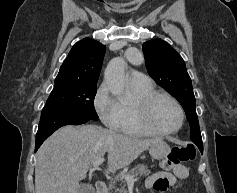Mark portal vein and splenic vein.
Masks as SVG:
<instances>
[{"label":"portal vein and splenic vein","mask_w":237,"mask_h":193,"mask_svg":"<svg viewBox=\"0 0 237 193\" xmlns=\"http://www.w3.org/2000/svg\"><path fill=\"white\" fill-rule=\"evenodd\" d=\"M104 162V158H100L97 161H95L92 165L94 168H98L99 165H101ZM121 179H124L128 183H134V177L129 174H124L120 177Z\"/></svg>","instance_id":"portal-vein-and-splenic-vein-1"}]
</instances>
